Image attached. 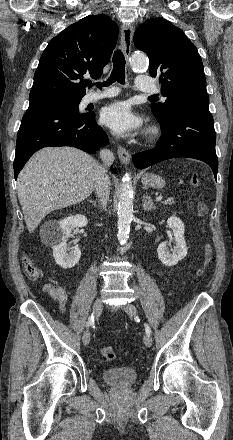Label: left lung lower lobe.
<instances>
[{"label": "left lung lower lobe", "mask_w": 233, "mask_h": 440, "mask_svg": "<svg viewBox=\"0 0 233 440\" xmlns=\"http://www.w3.org/2000/svg\"><path fill=\"white\" fill-rule=\"evenodd\" d=\"M159 123L162 135L157 146L132 158L137 168L143 169L170 158L187 157L207 163L216 177V134L208 108L182 107L173 113L169 121Z\"/></svg>", "instance_id": "0a47b994"}]
</instances>
